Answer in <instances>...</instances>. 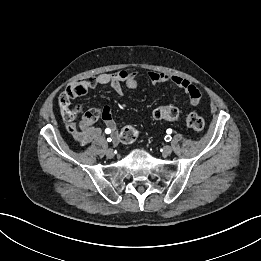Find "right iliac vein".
Listing matches in <instances>:
<instances>
[{"label":"right iliac vein","instance_id":"right-iliac-vein-1","mask_svg":"<svg viewBox=\"0 0 261 261\" xmlns=\"http://www.w3.org/2000/svg\"><path fill=\"white\" fill-rule=\"evenodd\" d=\"M106 156H107L108 158H113V157H114V151H113V149H108V150L106 151Z\"/></svg>","mask_w":261,"mask_h":261}]
</instances>
